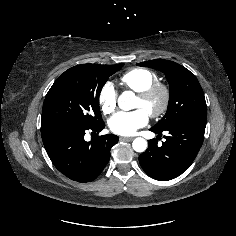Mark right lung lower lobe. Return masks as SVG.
Masks as SVG:
<instances>
[{"instance_id":"right-lung-lower-lobe-1","label":"right lung lower lobe","mask_w":236,"mask_h":236,"mask_svg":"<svg viewBox=\"0 0 236 236\" xmlns=\"http://www.w3.org/2000/svg\"><path fill=\"white\" fill-rule=\"evenodd\" d=\"M104 122L84 127L62 124L41 132L46 152L54 166L66 177L77 182H90L103 171L110 158V149L119 137L107 134L84 140L86 130L100 132Z\"/></svg>"}]
</instances>
